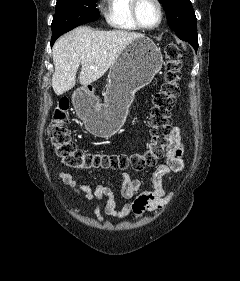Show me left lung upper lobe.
<instances>
[{"label":"left lung upper lobe","mask_w":240,"mask_h":281,"mask_svg":"<svg viewBox=\"0 0 240 281\" xmlns=\"http://www.w3.org/2000/svg\"><path fill=\"white\" fill-rule=\"evenodd\" d=\"M176 35L189 42L194 49L198 46L197 19L190 0H159Z\"/></svg>","instance_id":"1"}]
</instances>
